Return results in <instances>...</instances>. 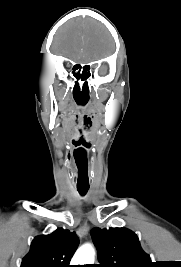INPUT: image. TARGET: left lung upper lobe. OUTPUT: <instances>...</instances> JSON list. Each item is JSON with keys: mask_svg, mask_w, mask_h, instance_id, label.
I'll list each match as a JSON object with an SVG mask.
<instances>
[{"mask_svg": "<svg viewBox=\"0 0 181 267\" xmlns=\"http://www.w3.org/2000/svg\"><path fill=\"white\" fill-rule=\"evenodd\" d=\"M91 237L100 264L96 267H154L137 235L126 228H93Z\"/></svg>", "mask_w": 181, "mask_h": 267, "instance_id": "1", "label": "left lung upper lobe"}]
</instances>
